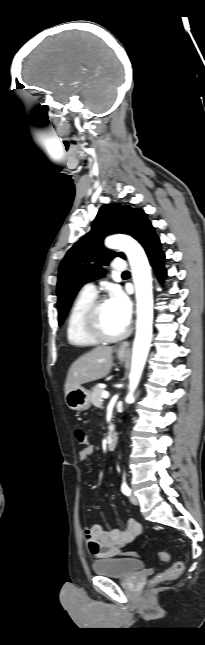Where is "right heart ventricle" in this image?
<instances>
[{"instance_id": "1", "label": "right heart ventricle", "mask_w": 205, "mask_h": 645, "mask_svg": "<svg viewBox=\"0 0 205 645\" xmlns=\"http://www.w3.org/2000/svg\"><path fill=\"white\" fill-rule=\"evenodd\" d=\"M95 296L80 292L74 299L66 321V337L69 344L78 347L94 346L99 343L85 330L84 315Z\"/></svg>"}]
</instances>
